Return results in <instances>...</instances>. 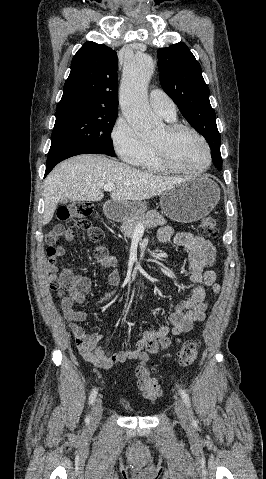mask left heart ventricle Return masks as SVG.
Masks as SVG:
<instances>
[{
	"label": "left heart ventricle",
	"instance_id": "obj_1",
	"mask_svg": "<svg viewBox=\"0 0 266 479\" xmlns=\"http://www.w3.org/2000/svg\"><path fill=\"white\" fill-rule=\"evenodd\" d=\"M152 141L162 143L171 160L180 168L187 170L201 169L206 164V153L199 139L190 132L169 135L163 127Z\"/></svg>",
	"mask_w": 266,
	"mask_h": 479
}]
</instances>
